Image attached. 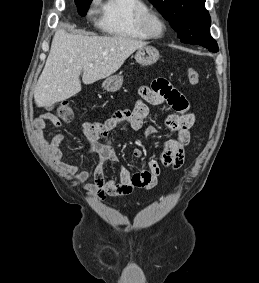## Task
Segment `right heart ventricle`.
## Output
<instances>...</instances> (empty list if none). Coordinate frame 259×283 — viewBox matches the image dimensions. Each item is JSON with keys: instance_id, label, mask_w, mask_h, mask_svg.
I'll list each match as a JSON object with an SVG mask.
<instances>
[{"instance_id": "right-heart-ventricle-1", "label": "right heart ventricle", "mask_w": 259, "mask_h": 283, "mask_svg": "<svg viewBox=\"0 0 259 283\" xmlns=\"http://www.w3.org/2000/svg\"><path fill=\"white\" fill-rule=\"evenodd\" d=\"M149 10L144 0H105L101 8L99 26L111 36L123 39L147 40L142 17Z\"/></svg>"}]
</instances>
